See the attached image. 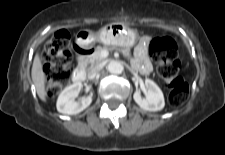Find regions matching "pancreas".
Returning <instances> with one entry per match:
<instances>
[{"instance_id": "obj_1", "label": "pancreas", "mask_w": 225, "mask_h": 155, "mask_svg": "<svg viewBox=\"0 0 225 155\" xmlns=\"http://www.w3.org/2000/svg\"><path fill=\"white\" fill-rule=\"evenodd\" d=\"M117 49L116 46H97L90 56L84 57L79 62L80 67H87L88 64L94 65L102 62L105 58L101 55L104 50H113ZM126 55L130 56V49L128 47L119 48Z\"/></svg>"}]
</instances>
